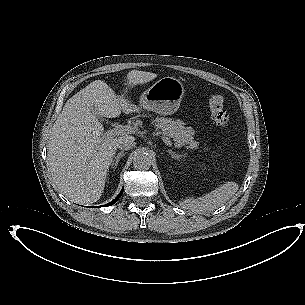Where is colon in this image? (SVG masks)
Instances as JSON below:
<instances>
[{"instance_id":"obj_1","label":"colon","mask_w":305,"mask_h":305,"mask_svg":"<svg viewBox=\"0 0 305 305\" xmlns=\"http://www.w3.org/2000/svg\"><path fill=\"white\" fill-rule=\"evenodd\" d=\"M210 110L213 120L220 126L226 125L229 115L224 109V99L220 95H215L210 99Z\"/></svg>"}]
</instances>
